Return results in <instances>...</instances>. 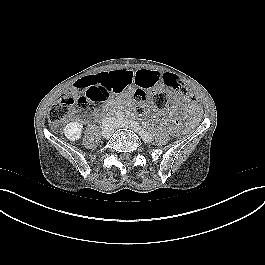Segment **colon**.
Wrapping results in <instances>:
<instances>
[{
    "instance_id": "5ec220e1",
    "label": "colon",
    "mask_w": 265,
    "mask_h": 265,
    "mask_svg": "<svg viewBox=\"0 0 265 265\" xmlns=\"http://www.w3.org/2000/svg\"><path fill=\"white\" fill-rule=\"evenodd\" d=\"M163 84L171 94L162 89L155 90L151 94V102L156 108L163 109L168 104L177 106L180 100L183 99V106L187 112L195 114L201 110V99L195 95L188 96L190 93L184 89L176 76L165 74ZM113 92L115 90L108 77H84L74 83L70 94L62 97L52 106L49 112V120L57 124L67 120L76 111H93L95 104L105 101ZM133 97L136 102V112L143 113L145 103L148 100L145 89H137Z\"/></svg>"
}]
</instances>
